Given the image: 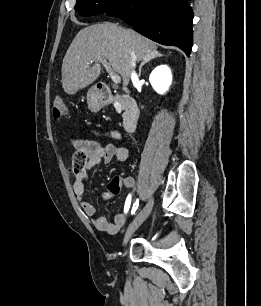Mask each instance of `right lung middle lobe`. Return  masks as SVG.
Masks as SVG:
<instances>
[{
	"label": "right lung middle lobe",
	"instance_id": "obj_1",
	"mask_svg": "<svg viewBox=\"0 0 261 306\" xmlns=\"http://www.w3.org/2000/svg\"><path fill=\"white\" fill-rule=\"evenodd\" d=\"M128 0H77L75 10L82 16L107 13L125 4Z\"/></svg>",
	"mask_w": 261,
	"mask_h": 306
}]
</instances>
